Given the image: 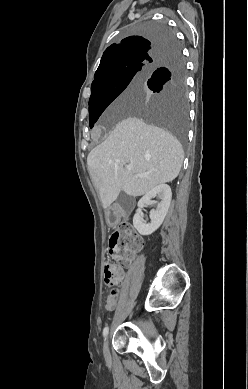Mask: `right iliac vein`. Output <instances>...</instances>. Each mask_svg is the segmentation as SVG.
Instances as JSON below:
<instances>
[{
    "label": "right iliac vein",
    "mask_w": 248,
    "mask_h": 389,
    "mask_svg": "<svg viewBox=\"0 0 248 389\" xmlns=\"http://www.w3.org/2000/svg\"><path fill=\"white\" fill-rule=\"evenodd\" d=\"M108 344H109V340L108 338L106 339L105 343H104V346H103V352H104V355L105 356H108L109 354V347H108Z\"/></svg>",
    "instance_id": "obj_1"
}]
</instances>
